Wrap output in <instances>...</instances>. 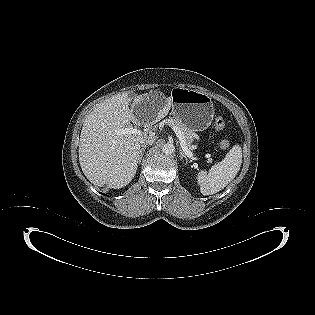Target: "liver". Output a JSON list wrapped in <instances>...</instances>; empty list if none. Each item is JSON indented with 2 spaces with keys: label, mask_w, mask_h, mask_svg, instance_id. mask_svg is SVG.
Listing matches in <instances>:
<instances>
[{
  "label": "liver",
  "mask_w": 315,
  "mask_h": 315,
  "mask_svg": "<svg viewBox=\"0 0 315 315\" xmlns=\"http://www.w3.org/2000/svg\"><path fill=\"white\" fill-rule=\"evenodd\" d=\"M146 99L135 96L134 104ZM131 98L128 93L117 94L98 104L86 117L80 135L79 162L87 179L97 186L119 189L129 184L134 178L140 155V134H117L130 122L138 119L129 109ZM171 108V99L158 109L154 122L163 119Z\"/></svg>",
  "instance_id": "6515ba94"
}]
</instances>
